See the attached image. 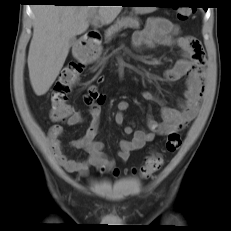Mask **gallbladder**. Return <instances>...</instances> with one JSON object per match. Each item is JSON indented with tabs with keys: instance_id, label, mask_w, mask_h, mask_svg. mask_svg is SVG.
Segmentation results:
<instances>
[{
	"instance_id": "1",
	"label": "gallbladder",
	"mask_w": 231,
	"mask_h": 231,
	"mask_svg": "<svg viewBox=\"0 0 231 231\" xmlns=\"http://www.w3.org/2000/svg\"><path fill=\"white\" fill-rule=\"evenodd\" d=\"M74 40H75L74 38L71 39V40H70V44H73Z\"/></svg>"
}]
</instances>
